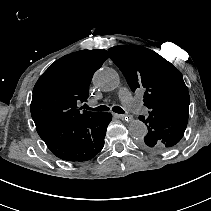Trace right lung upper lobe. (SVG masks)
Masks as SVG:
<instances>
[{"instance_id": "cb5924a9", "label": "right lung upper lobe", "mask_w": 211, "mask_h": 211, "mask_svg": "<svg viewBox=\"0 0 211 211\" xmlns=\"http://www.w3.org/2000/svg\"><path fill=\"white\" fill-rule=\"evenodd\" d=\"M109 57L106 50H83L55 61L33 89L31 115L39 135L91 116L77 104L87 100L93 74Z\"/></svg>"}]
</instances>
